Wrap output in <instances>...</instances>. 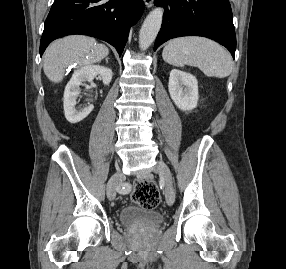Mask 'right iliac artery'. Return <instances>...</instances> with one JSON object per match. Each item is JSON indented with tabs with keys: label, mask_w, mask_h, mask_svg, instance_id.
Returning <instances> with one entry per match:
<instances>
[{
	"label": "right iliac artery",
	"mask_w": 286,
	"mask_h": 269,
	"mask_svg": "<svg viewBox=\"0 0 286 269\" xmlns=\"http://www.w3.org/2000/svg\"><path fill=\"white\" fill-rule=\"evenodd\" d=\"M125 190H124V188L122 189V190H120L119 192H124Z\"/></svg>",
	"instance_id": "right-iliac-artery-1"
}]
</instances>
